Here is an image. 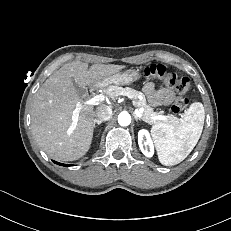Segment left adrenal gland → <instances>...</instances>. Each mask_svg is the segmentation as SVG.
<instances>
[{
  "instance_id": "1",
  "label": "left adrenal gland",
  "mask_w": 231,
  "mask_h": 231,
  "mask_svg": "<svg viewBox=\"0 0 231 231\" xmlns=\"http://www.w3.org/2000/svg\"><path fill=\"white\" fill-rule=\"evenodd\" d=\"M135 120L138 122V120H141V119L135 115Z\"/></svg>"
}]
</instances>
